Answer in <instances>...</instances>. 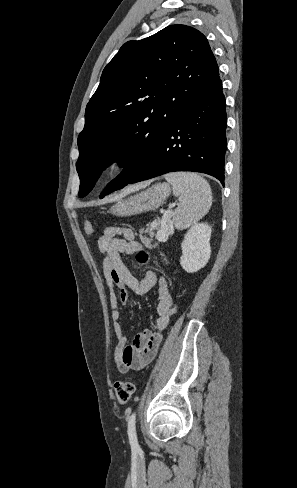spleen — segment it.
Wrapping results in <instances>:
<instances>
[{
    "instance_id": "obj_1",
    "label": "spleen",
    "mask_w": 297,
    "mask_h": 488,
    "mask_svg": "<svg viewBox=\"0 0 297 488\" xmlns=\"http://www.w3.org/2000/svg\"><path fill=\"white\" fill-rule=\"evenodd\" d=\"M165 179L172 185L173 194L180 203L173 213V222L178 229H185L202 218L212 205L211 188L208 182L194 173H169Z\"/></svg>"
}]
</instances>
